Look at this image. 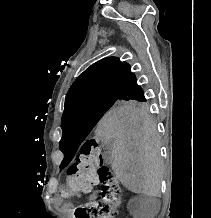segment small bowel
Segmentation results:
<instances>
[{"label":"small bowel","instance_id":"c3829d8e","mask_svg":"<svg viewBox=\"0 0 211 218\" xmlns=\"http://www.w3.org/2000/svg\"><path fill=\"white\" fill-rule=\"evenodd\" d=\"M95 195L91 196V199H94ZM66 190L62 189L59 191V193L56 194L55 198H54V202L55 204L59 205L62 209L66 210V211H71L72 206L71 204L66 202Z\"/></svg>","mask_w":211,"mask_h":218}]
</instances>
